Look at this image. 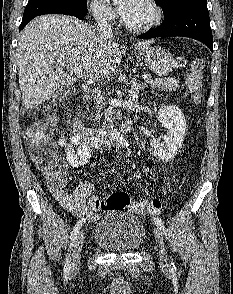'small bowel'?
Instances as JSON below:
<instances>
[{"mask_svg":"<svg viewBox=\"0 0 233 294\" xmlns=\"http://www.w3.org/2000/svg\"><path fill=\"white\" fill-rule=\"evenodd\" d=\"M58 144L64 150L67 163L71 167L83 166L91 160L92 146L82 141L77 134H73L69 141L64 138L60 139ZM142 174L156 179V176L147 167L137 171L134 178L138 179ZM51 192L53 197L75 216L90 222L98 218L95 209L90 205L92 200L98 199L94 195V185L91 182H81L73 190L65 188L64 185L58 187L51 183Z\"/></svg>","mask_w":233,"mask_h":294,"instance_id":"1","label":"small bowel"}]
</instances>
